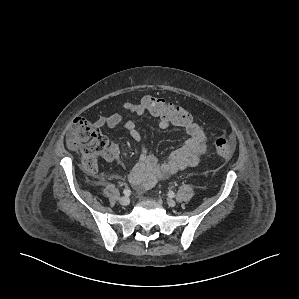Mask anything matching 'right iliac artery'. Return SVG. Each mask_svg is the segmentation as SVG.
<instances>
[{"instance_id":"82829eb1","label":"right iliac artery","mask_w":299,"mask_h":299,"mask_svg":"<svg viewBox=\"0 0 299 299\" xmlns=\"http://www.w3.org/2000/svg\"><path fill=\"white\" fill-rule=\"evenodd\" d=\"M123 193L126 195V196H129L131 194V190L126 188L124 189Z\"/></svg>"}]
</instances>
